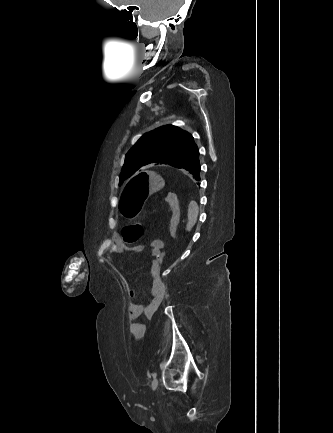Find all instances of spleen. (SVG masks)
Masks as SVG:
<instances>
[{"label": "spleen", "mask_w": 333, "mask_h": 433, "mask_svg": "<svg viewBox=\"0 0 333 433\" xmlns=\"http://www.w3.org/2000/svg\"><path fill=\"white\" fill-rule=\"evenodd\" d=\"M199 214V208L196 202H192L189 209L188 223L186 226L187 231H191L193 226L196 224Z\"/></svg>", "instance_id": "obj_1"}]
</instances>
